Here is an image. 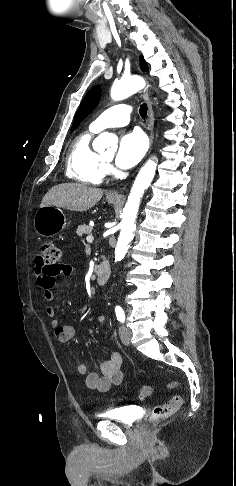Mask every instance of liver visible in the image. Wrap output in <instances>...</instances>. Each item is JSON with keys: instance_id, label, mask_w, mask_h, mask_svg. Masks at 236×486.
<instances>
[{"instance_id": "obj_1", "label": "liver", "mask_w": 236, "mask_h": 486, "mask_svg": "<svg viewBox=\"0 0 236 486\" xmlns=\"http://www.w3.org/2000/svg\"><path fill=\"white\" fill-rule=\"evenodd\" d=\"M102 196V189L78 183H64L52 187L43 197L40 207L56 206L83 212L92 208Z\"/></svg>"}]
</instances>
